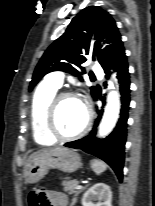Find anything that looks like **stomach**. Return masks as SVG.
Returning <instances> with one entry per match:
<instances>
[{"label": "stomach", "instance_id": "stomach-1", "mask_svg": "<svg viewBox=\"0 0 155 206\" xmlns=\"http://www.w3.org/2000/svg\"><path fill=\"white\" fill-rule=\"evenodd\" d=\"M82 167L81 157L72 149L57 147L36 153L29 161L24 177L29 184L39 182L49 169L73 173Z\"/></svg>", "mask_w": 155, "mask_h": 206}]
</instances>
